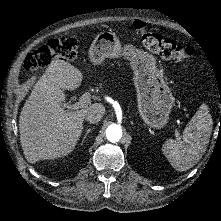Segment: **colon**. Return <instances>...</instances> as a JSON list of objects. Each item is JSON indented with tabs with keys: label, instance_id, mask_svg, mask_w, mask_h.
Returning a JSON list of instances; mask_svg holds the SVG:
<instances>
[{
	"label": "colon",
	"instance_id": "5ec220e1",
	"mask_svg": "<svg viewBox=\"0 0 221 221\" xmlns=\"http://www.w3.org/2000/svg\"><path fill=\"white\" fill-rule=\"evenodd\" d=\"M133 27L139 34L142 46L158 54L162 59L190 63L191 58L197 53L193 47L182 46L157 33L150 32L140 21L134 22ZM77 48L78 37L75 34H65L28 54L23 61V67L30 74L54 61L74 59L77 56Z\"/></svg>",
	"mask_w": 221,
	"mask_h": 221
}]
</instances>
